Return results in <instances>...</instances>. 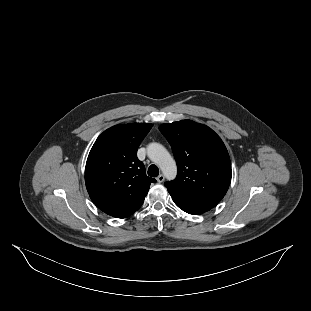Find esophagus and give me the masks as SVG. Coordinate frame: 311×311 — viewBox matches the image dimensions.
I'll return each mask as SVG.
<instances>
[{
  "label": "esophagus",
  "mask_w": 311,
  "mask_h": 311,
  "mask_svg": "<svg viewBox=\"0 0 311 311\" xmlns=\"http://www.w3.org/2000/svg\"><path fill=\"white\" fill-rule=\"evenodd\" d=\"M164 179H165V177H164L163 174H160V175L157 177V181L160 182V183L163 182Z\"/></svg>",
  "instance_id": "esophagus-1"
}]
</instances>
